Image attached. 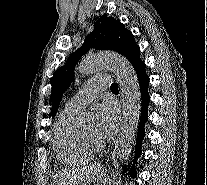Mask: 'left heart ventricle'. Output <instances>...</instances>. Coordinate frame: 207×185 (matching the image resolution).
<instances>
[{"mask_svg":"<svg viewBox=\"0 0 207 185\" xmlns=\"http://www.w3.org/2000/svg\"><path fill=\"white\" fill-rule=\"evenodd\" d=\"M83 131L86 132L87 134H96V135H98L95 131L94 124L89 125L85 129H83Z\"/></svg>","mask_w":207,"mask_h":185,"instance_id":"obj_1","label":"left heart ventricle"}]
</instances>
